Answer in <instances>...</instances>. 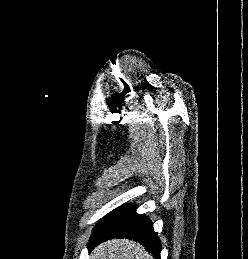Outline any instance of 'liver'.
<instances>
[{
	"mask_svg": "<svg viewBox=\"0 0 248 259\" xmlns=\"http://www.w3.org/2000/svg\"><path fill=\"white\" fill-rule=\"evenodd\" d=\"M90 259H154L139 243L127 239H112L97 246Z\"/></svg>",
	"mask_w": 248,
	"mask_h": 259,
	"instance_id": "liver-1",
	"label": "liver"
}]
</instances>
